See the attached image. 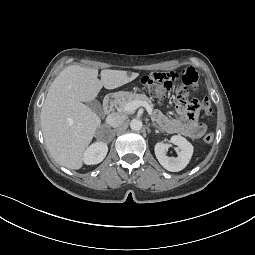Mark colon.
<instances>
[{
  "instance_id": "colon-1",
  "label": "colon",
  "mask_w": 255,
  "mask_h": 255,
  "mask_svg": "<svg viewBox=\"0 0 255 255\" xmlns=\"http://www.w3.org/2000/svg\"><path fill=\"white\" fill-rule=\"evenodd\" d=\"M180 77V82L176 80ZM198 75L193 68H187L181 71L180 75L170 72H152L144 75L141 78V84L152 94H160L163 91H168L175 88L180 106L184 107L191 113L203 112L209 114L211 112L210 102L207 98L203 100H189V93L197 85ZM214 140V134L208 133L204 137L206 143H211Z\"/></svg>"
}]
</instances>
